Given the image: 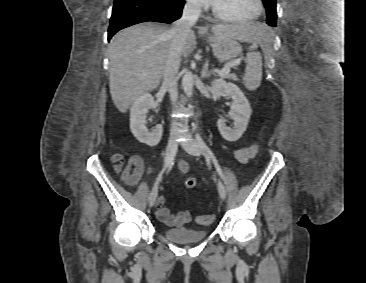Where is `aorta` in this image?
<instances>
[{
  "instance_id": "aorta-1",
  "label": "aorta",
  "mask_w": 366,
  "mask_h": 283,
  "mask_svg": "<svg viewBox=\"0 0 366 283\" xmlns=\"http://www.w3.org/2000/svg\"><path fill=\"white\" fill-rule=\"evenodd\" d=\"M194 77L191 71L185 72L182 78V86L187 97H191L193 93Z\"/></svg>"
}]
</instances>
